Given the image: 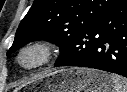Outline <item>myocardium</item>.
<instances>
[{"label": "myocardium", "instance_id": "obj_1", "mask_svg": "<svg viewBox=\"0 0 127 92\" xmlns=\"http://www.w3.org/2000/svg\"><path fill=\"white\" fill-rule=\"evenodd\" d=\"M57 47L48 40H36L22 46L17 55L16 63L26 71H32L48 65L57 54ZM36 54L37 60L31 64H25L24 58L28 54Z\"/></svg>", "mask_w": 127, "mask_h": 92}]
</instances>
